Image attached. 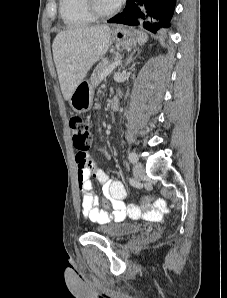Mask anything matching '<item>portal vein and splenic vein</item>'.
Here are the masks:
<instances>
[{"mask_svg":"<svg viewBox=\"0 0 227 298\" xmlns=\"http://www.w3.org/2000/svg\"><path fill=\"white\" fill-rule=\"evenodd\" d=\"M121 64V58H117L113 63H111L101 74L100 79L103 80L105 79L109 74L113 72V70Z\"/></svg>","mask_w":227,"mask_h":298,"instance_id":"portal-vein-and-splenic-vein-1","label":"portal vein and splenic vein"}]
</instances>
